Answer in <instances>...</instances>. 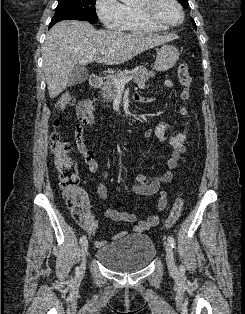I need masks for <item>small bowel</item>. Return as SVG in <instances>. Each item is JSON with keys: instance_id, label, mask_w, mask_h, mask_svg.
Returning <instances> with one entry per match:
<instances>
[{"instance_id": "small-bowel-1", "label": "small bowel", "mask_w": 245, "mask_h": 314, "mask_svg": "<svg viewBox=\"0 0 245 314\" xmlns=\"http://www.w3.org/2000/svg\"><path fill=\"white\" fill-rule=\"evenodd\" d=\"M163 87L170 89L173 86V82L170 79L163 81ZM142 89H146L149 85L145 82L140 84ZM142 102H151L154 98L151 97H139ZM94 104L90 100H82L76 106V114L78 117V123L75 128V141L79 152L84 158V162L90 172H97L99 169L98 162L95 159V154L92 149L87 145L86 136L84 133L85 126H91L94 123ZM191 119L186 115L185 130L176 131L170 125L164 122L157 123L153 128H149L145 131V138L156 137L161 142H166L171 148L172 152L166 161L167 171L158 177L150 178L146 175H137L132 183V191L135 194L150 196L157 194V205L161 211L166 206V192L161 189L163 184L169 183L173 179V170L177 167L178 161L186 151L185 142L187 140V130L191 127ZM110 159L107 160V166H110ZM106 177V173L103 174ZM98 195L101 199L107 198V188L104 184H100L97 189ZM83 204L86 209L89 210L90 203L86 195H83ZM103 216L113 222H126L135 223L136 216L133 213L123 212L116 209H106L103 211ZM89 226L87 231L89 234H94L97 229L96 216L88 212L87 214ZM159 223V217L157 215H149L145 219L139 221L134 225L133 231L135 233H144L151 228L155 227ZM128 234L127 231H121L113 236V239H119ZM104 241H97L96 245H103Z\"/></svg>"}]
</instances>
